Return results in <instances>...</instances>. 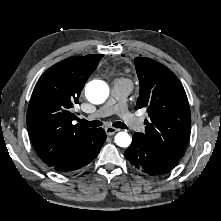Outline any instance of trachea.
<instances>
[{
    "mask_svg": "<svg viewBox=\"0 0 221 221\" xmlns=\"http://www.w3.org/2000/svg\"><path fill=\"white\" fill-rule=\"evenodd\" d=\"M79 123L81 125H84V126H87V127H99L102 125V122L99 121V120H94V121H87L85 119H79ZM113 126L115 128H120V129H125L126 128V125L123 124L122 122L120 121H117V122H114L113 123Z\"/></svg>",
    "mask_w": 221,
    "mask_h": 221,
    "instance_id": "1",
    "label": "trachea"
}]
</instances>
